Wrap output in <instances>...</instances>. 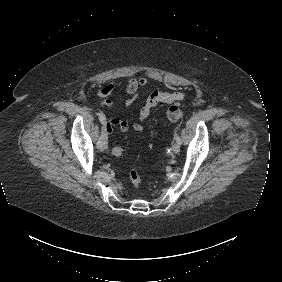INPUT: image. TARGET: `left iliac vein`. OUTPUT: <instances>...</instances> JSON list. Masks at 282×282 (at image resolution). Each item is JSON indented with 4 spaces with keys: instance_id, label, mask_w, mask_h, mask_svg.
<instances>
[{
    "instance_id": "obj_1",
    "label": "left iliac vein",
    "mask_w": 282,
    "mask_h": 282,
    "mask_svg": "<svg viewBox=\"0 0 282 282\" xmlns=\"http://www.w3.org/2000/svg\"><path fill=\"white\" fill-rule=\"evenodd\" d=\"M172 151L174 154H177L180 151V144L177 141L174 142Z\"/></svg>"
}]
</instances>
